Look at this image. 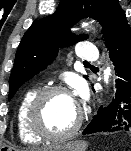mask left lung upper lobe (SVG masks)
Instances as JSON below:
<instances>
[{"mask_svg":"<svg viewBox=\"0 0 131 151\" xmlns=\"http://www.w3.org/2000/svg\"><path fill=\"white\" fill-rule=\"evenodd\" d=\"M86 17L102 25L108 48L131 33L118 0H61L53 15L36 21L24 34L9 79V100L26 81L51 63L59 46L88 38L69 33L75 22Z\"/></svg>","mask_w":131,"mask_h":151,"instance_id":"obj_1","label":"left lung upper lobe"}]
</instances>
